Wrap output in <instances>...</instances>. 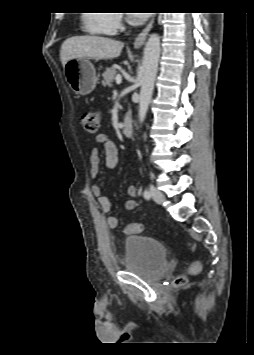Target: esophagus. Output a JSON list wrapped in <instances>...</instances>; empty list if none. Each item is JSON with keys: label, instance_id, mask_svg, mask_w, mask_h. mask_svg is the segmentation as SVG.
Returning <instances> with one entry per match:
<instances>
[{"label": "esophagus", "instance_id": "34e87169", "mask_svg": "<svg viewBox=\"0 0 254 355\" xmlns=\"http://www.w3.org/2000/svg\"><path fill=\"white\" fill-rule=\"evenodd\" d=\"M154 21H155V15L152 16V18H151L150 22L148 23V25L136 37V39L134 41V48H140L145 43L146 37H147L149 31L152 29Z\"/></svg>", "mask_w": 254, "mask_h": 355}]
</instances>
